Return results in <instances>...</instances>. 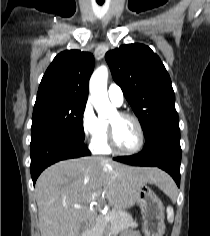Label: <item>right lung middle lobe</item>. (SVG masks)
Segmentation results:
<instances>
[{"label":"right lung middle lobe","mask_w":210,"mask_h":236,"mask_svg":"<svg viewBox=\"0 0 210 236\" xmlns=\"http://www.w3.org/2000/svg\"><path fill=\"white\" fill-rule=\"evenodd\" d=\"M86 101L54 98L35 103L31 137L44 133H63L83 140V113Z\"/></svg>","instance_id":"obj_1"}]
</instances>
